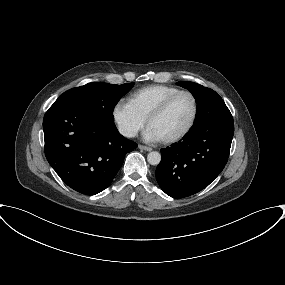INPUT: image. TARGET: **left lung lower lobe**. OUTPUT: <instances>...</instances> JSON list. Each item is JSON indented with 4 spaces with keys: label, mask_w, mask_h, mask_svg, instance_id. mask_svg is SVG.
<instances>
[{
    "label": "left lung lower lobe",
    "mask_w": 285,
    "mask_h": 285,
    "mask_svg": "<svg viewBox=\"0 0 285 285\" xmlns=\"http://www.w3.org/2000/svg\"><path fill=\"white\" fill-rule=\"evenodd\" d=\"M233 134V122H213L190 129L181 141L161 149L155 173L161 189L183 198L206 188L225 167Z\"/></svg>",
    "instance_id": "obj_1"
}]
</instances>
